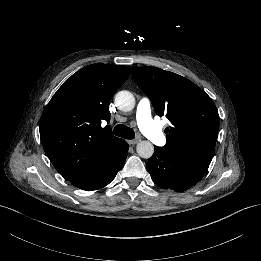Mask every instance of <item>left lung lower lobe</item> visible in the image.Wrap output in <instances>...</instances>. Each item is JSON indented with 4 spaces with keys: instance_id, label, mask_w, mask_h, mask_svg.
<instances>
[{
    "instance_id": "0a47b994",
    "label": "left lung lower lobe",
    "mask_w": 261,
    "mask_h": 261,
    "mask_svg": "<svg viewBox=\"0 0 261 261\" xmlns=\"http://www.w3.org/2000/svg\"><path fill=\"white\" fill-rule=\"evenodd\" d=\"M154 148L146 167L153 182L163 189L182 192L191 188L202 179L211 162V159L198 154Z\"/></svg>"
}]
</instances>
